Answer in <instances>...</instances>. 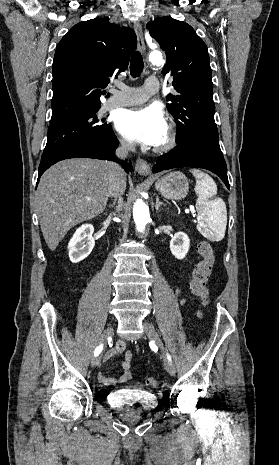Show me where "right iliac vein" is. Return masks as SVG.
<instances>
[{"mask_svg": "<svg viewBox=\"0 0 279 465\" xmlns=\"http://www.w3.org/2000/svg\"><path fill=\"white\" fill-rule=\"evenodd\" d=\"M113 335V328L111 326L107 327L105 331L103 332L101 338H100V344L105 345L107 340ZM101 360V354L95 356L92 361L91 365L92 367H97L100 363Z\"/></svg>", "mask_w": 279, "mask_h": 465, "instance_id": "63e3f726", "label": "right iliac vein"}]
</instances>
